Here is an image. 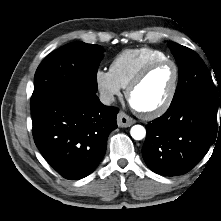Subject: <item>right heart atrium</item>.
<instances>
[{"label":"right heart atrium","instance_id":"obj_1","mask_svg":"<svg viewBox=\"0 0 221 221\" xmlns=\"http://www.w3.org/2000/svg\"><path fill=\"white\" fill-rule=\"evenodd\" d=\"M95 83L105 102H112L121 94V86L114 79L110 71L97 69L95 72Z\"/></svg>","mask_w":221,"mask_h":221}]
</instances>
